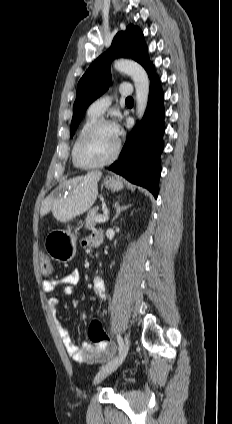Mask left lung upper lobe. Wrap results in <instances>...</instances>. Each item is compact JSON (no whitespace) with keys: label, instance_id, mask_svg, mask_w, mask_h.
<instances>
[{"label":"left lung upper lobe","instance_id":"left-lung-upper-lobe-1","mask_svg":"<svg viewBox=\"0 0 232 424\" xmlns=\"http://www.w3.org/2000/svg\"><path fill=\"white\" fill-rule=\"evenodd\" d=\"M119 56H130L139 62L147 73L153 68L148 59L147 47L140 28L129 25L126 31L119 32L114 37L111 47L90 65L77 85V96L71 122V137L74 135L87 107L107 90L111 81L110 63Z\"/></svg>","mask_w":232,"mask_h":424}]
</instances>
